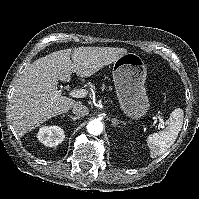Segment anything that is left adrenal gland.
I'll use <instances>...</instances> for the list:
<instances>
[{
	"mask_svg": "<svg viewBox=\"0 0 199 199\" xmlns=\"http://www.w3.org/2000/svg\"><path fill=\"white\" fill-rule=\"evenodd\" d=\"M111 122H112V124H113V126H118V124H120L121 122L119 121V120H117L116 118H112L111 119ZM124 124V123H123Z\"/></svg>",
	"mask_w": 199,
	"mask_h": 199,
	"instance_id": "1",
	"label": "left adrenal gland"
}]
</instances>
